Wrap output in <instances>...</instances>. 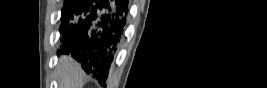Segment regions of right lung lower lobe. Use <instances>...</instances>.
<instances>
[{"label":"right lung lower lobe","mask_w":267,"mask_h":88,"mask_svg":"<svg viewBox=\"0 0 267 88\" xmlns=\"http://www.w3.org/2000/svg\"><path fill=\"white\" fill-rule=\"evenodd\" d=\"M62 12V48L105 82L125 29L128 0H72Z\"/></svg>","instance_id":"obj_1"}]
</instances>
